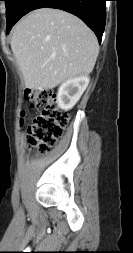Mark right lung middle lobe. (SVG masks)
<instances>
[{"mask_svg":"<svg viewBox=\"0 0 133 253\" xmlns=\"http://www.w3.org/2000/svg\"><path fill=\"white\" fill-rule=\"evenodd\" d=\"M6 3L7 33L18 21L21 4L24 0H3Z\"/></svg>","mask_w":133,"mask_h":253,"instance_id":"right-lung-middle-lobe-1","label":"right lung middle lobe"}]
</instances>
